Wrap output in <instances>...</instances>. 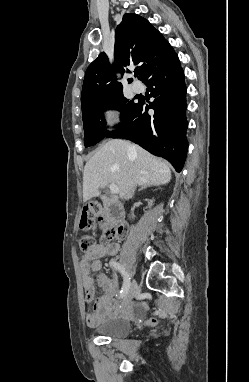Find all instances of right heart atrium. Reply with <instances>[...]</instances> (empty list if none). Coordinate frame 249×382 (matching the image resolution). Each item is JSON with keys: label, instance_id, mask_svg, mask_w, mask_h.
Returning <instances> with one entry per match:
<instances>
[{"label": "right heart atrium", "instance_id": "obj_1", "mask_svg": "<svg viewBox=\"0 0 249 382\" xmlns=\"http://www.w3.org/2000/svg\"><path fill=\"white\" fill-rule=\"evenodd\" d=\"M102 119L106 126H111L116 119V112L112 109H105L102 112Z\"/></svg>", "mask_w": 249, "mask_h": 382}]
</instances>
